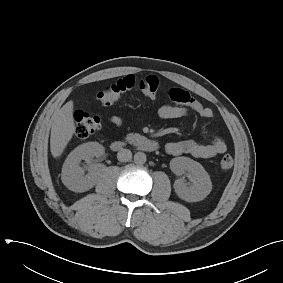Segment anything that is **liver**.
Masks as SVG:
<instances>
[{
	"label": "liver",
	"instance_id": "liver-1",
	"mask_svg": "<svg viewBox=\"0 0 283 283\" xmlns=\"http://www.w3.org/2000/svg\"><path fill=\"white\" fill-rule=\"evenodd\" d=\"M76 127L73 118V101H68L53 115L50 135V151L54 158L61 156L72 139Z\"/></svg>",
	"mask_w": 283,
	"mask_h": 283
}]
</instances>
